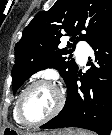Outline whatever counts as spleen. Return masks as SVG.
Returning <instances> with one entry per match:
<instances>
[{"label":"spleen","mask_w":112,"mask_h":135,"mask_svg":"<svg viewBox=\"0 0 112 135\" xmlns=\"http://www.w3.org/2000/svg\"><path fill=\"white\" fill-rule=\"evenodd\" d=\"M78 135H92L91 133L85 132V131H79L77 133Z\"/></svg>","instance_id":"3e777b00"}]
</instances>
